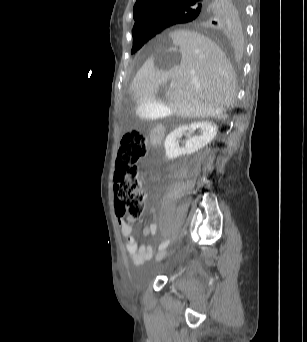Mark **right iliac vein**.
Segmentation results:
<instances>
[{
  "mask_svg": "<svg viewBox=\"0 0 307 342\" xmlns=\"http://www.w3.org/2000/svg\"><path fill=\"white\" fill-rule=\"evenodd\" d=\"M166 253H167V251H166L165 249L159 251V252L156 254V260H157V261L162 260V259L166 256Z\"/></svg>",
  "mask_w": 307,
  "mask_h": 342,
  "instance_id": "obj_1",
  "label": "right iliac vein"
}]
</instances>
